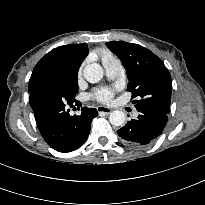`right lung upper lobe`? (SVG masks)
<instances>
[{
	"label": "right lung upper lobe",
	"instance_id": "cb5924a9",
	"mask_svg": "<svg viewBox=\"0 0 205 205\" xmlns=\"http://www.w3.org/2000/svg\"><path fill=\"white\" fill-rule=\"evenodd\" d=\"M88 54L87 44L60 46L47 53L35 66L29 80V92L56 78L67 79L78 69Z\"/></svg>",
	"mask_w": 205,
	"mask_h": 205
}]
</instances>
